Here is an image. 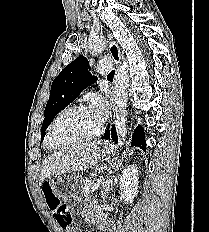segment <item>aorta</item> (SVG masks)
<instances>
[{"label":"aorta","instance_id":"762f6f07","mask_svg":"<svg viewBox=\"0 0 209 232\" xmlns=\"http://www.w3.org/2000/svg\"><path fill=\"white\" fill-rule=\"evenodd\" d=\"M106 46V38L98 36L90 39L88 42V50L92 54H99ZM129 65L125 59L120 62L118 71L113 80V98L115 111V125L118 135V142L121 145L127 139V99L129 87Z\"/></svg>","mask_w":209,"mask_h":232}]
</instances>
